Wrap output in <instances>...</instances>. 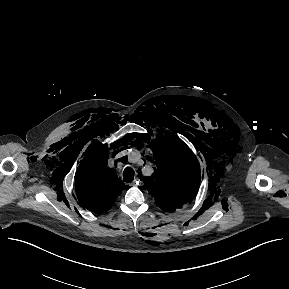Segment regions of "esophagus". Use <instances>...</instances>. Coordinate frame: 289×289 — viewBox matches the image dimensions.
<instances>
[{"label": "esophagus", "instance_id": "1", "mask_svg": "<svg viewBox=\"0 0 289 289\" xmlns=\"http://www.w3.org/2000/svg\"><path fill=\"white\" fill-rule=\"evenodd\" d=\"M140 183V178L137 176L134 180V182L131 185H138Z\"/></svg>", "mask_w": 289, "mask_h": 289}]
</instances>
